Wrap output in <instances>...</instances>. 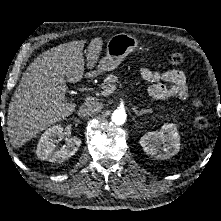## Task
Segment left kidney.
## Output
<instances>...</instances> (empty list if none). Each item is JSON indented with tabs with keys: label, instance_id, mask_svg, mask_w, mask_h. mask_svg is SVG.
<instances>
[{
	"label": "left kidney",
	"instance_id": "5707ae66",
	"mask_svg": "<svg viewBox=\"0 0 221 221\" xmlns=\"http://www.w3.org/2000/svg\"><path fill=\"white\" fill-rule=\"evenodd\" d=\"M143 150L157 158L168 159L179 152L180 137L173 123H166L160 131H153L144 134L140 139Z\"/></svg>",
	"mask_w": 221,
	"mask_h": 221
}]
</instances>
